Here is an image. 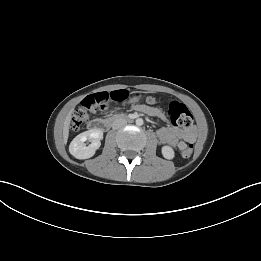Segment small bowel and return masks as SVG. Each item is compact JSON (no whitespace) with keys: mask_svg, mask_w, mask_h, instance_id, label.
Instances as JSON below:
<instances>
[{"mask_svg":"<svg viewBox=\"0 0 261 261\" xmlns=\"http://www.w3.org/2000/svg\"><path fill=\"white\" fill-rule=\"evenodd\" d=\"M138 111L158 119H166L164 113L156 107L139 106ZM157 135L161 144L179 149H182L187 142L194 141L196 137L194 129L184 130L176 126L163 127L157 131Z\"/></svg>","mask_w":261,"mask_h":261,"instance_id":"1","label":"small bowel"}]
</instances>
